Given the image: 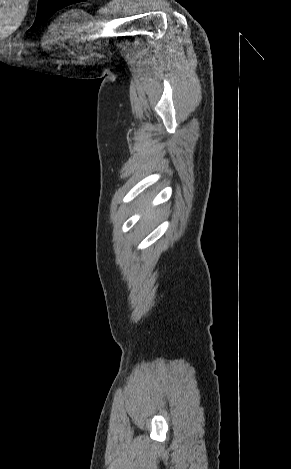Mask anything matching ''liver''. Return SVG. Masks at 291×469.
<instances>
[{"label":"liver","mask_w":291,"mask_h":469,"mask_svg":"<svg viewBox=\"0 0 291 469\" xmlns=\"http://www.w3.org/2000/svg\"><path fill=\"white\" fill-rule=\"evenodd\" d=\"M154 217H155V213L154 212H149L148 214L145 215L144 220L148 221V220L153 219Z\"/></svg>","instance_id":"6515ba94"}]
</instances>
